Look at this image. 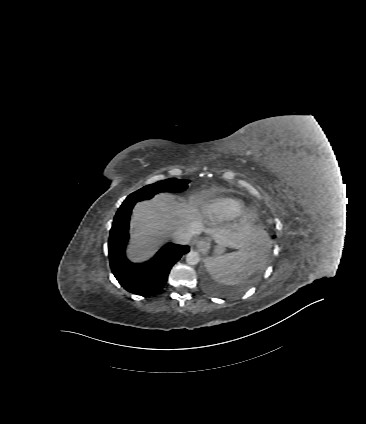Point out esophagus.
<instances>
[{"mask_svg": "<svg viewBox=\"0 0 366 424\" xmlns=\"http://www.w3.org/2000/svg\"><path fill=\"white\" fill-rule=\"evenodd\" d=\"M196 247H197V249L199 250V251H202V252H204V251H206V250H208V248H209V243L205 240V239H199L197 242H196Z\"/></svg>", "mask_w": 366, "mask_h": 424, "instance_id": "1", "label": "esophagus"}]
</instances>
